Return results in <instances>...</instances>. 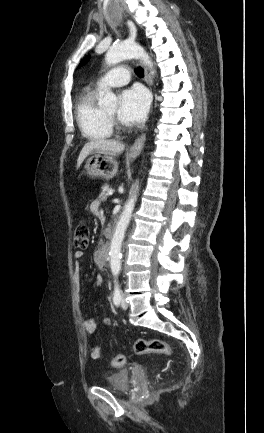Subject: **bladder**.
Listing matches in <instances>:
<instances>
[{
	"mask_svg": "<svg viewBox=\"0 0 264 433\" xmlns=\"http://www.w3.org/2000/svg\"><path fill=\"white\" fill-rule=\"evenodd\" d=\"M107 388L116 392H127L129 389V372L128 371H118L111 373L106 378Z\"/></svg>",
	"mask_w": 264,
	"mask_h": 433,
	"instance_id": "obj_1",
	"label": "bladder"
}]
</instances>
